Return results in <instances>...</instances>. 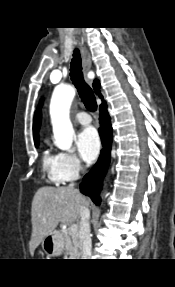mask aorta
Here are the masks:
<instances>
[{"label": "aorta", "instance_id": "1", "mask_svg": "<svg viewBox=\"0 0 175 287\" xmlns=\"http://www.w3.org/2000/svg\"><path fill=\"white\" fill-rule=\"evenodd\" d=\"M75 97V89L70 85L57 87L50 102V116L55 145L70 151L73 143L74 129L70 121V107Z\"/></svg>", "mask_w": 175, "mask_h": 287}]
</instances>
